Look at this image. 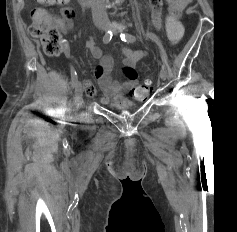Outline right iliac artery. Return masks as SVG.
<instances>
[{
  "mask_svg": "<svg viewBox=\"0 0 237 232\" xmlns=\"http://www.w3.org/2000/svg\"><path fill=\"white\" fill-rule=\"evenodd\" d=\"M112 39V31L108 30L105 35L103 36V43L107 44ZM71 82L72 86L75 87L78 82L77 73L74 70L73 66L71 65Z\"/></svg>",
  "mask_w": 237,
  "mask_h": 232,
  "instance_id": "obj_1",
  "label": "right iliac artery"
}]
</instances>
